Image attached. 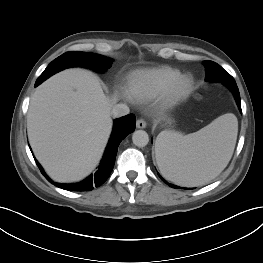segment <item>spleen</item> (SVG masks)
<instances>
[{
	"label": "spleen",
	"instance_id": "3e777b00",
	"mask_svg": "<svg viewBox=\"0 0 263 263\" xmlns=\"http://www.w3.org/2000/svg\"><path fill=\"white\" fill-rule=\"evenodd\" d=\"M238 132L234 114L219 116L197 132L183 135L164 130L155 143L156 160L162 175L187 187L204 185L229 163Z\"/></svg>",
	"mask_w": 263,
	"mask_h": 263
}]
</instances>
